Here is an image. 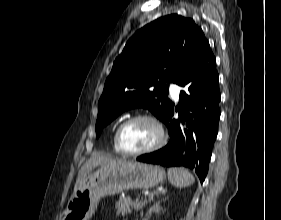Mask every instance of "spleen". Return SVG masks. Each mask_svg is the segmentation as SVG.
<instances>
[{
    "label": "spleen",
    "instance_id": "spleen-1",
    "mask_svg": "<svg viewBox=\"0 0 281 220\" xmlns=\"http://www.w3.org/2000/svg\"><path fill=\"white\" fill-rule=\"evenodd\" d=\"M168 179L176 187L183 188L194 183V176L183 167H171L168 169Z\"/></svg>",
    "mask_w": 281,
    "mask_h": 220
}]
</instances>
